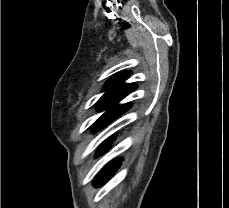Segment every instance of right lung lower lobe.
<instances>
[{"label": "right lung lower lobe", "instance_id": "1", "mask_svg": "<svg viewBox=\"0 0 229 208\" xmlns=\"http://www.w3.org/2000/svg\"><path fill=\"white\" fill-rule=\"evenodd\" d=\"M108 143H106L102 147H100L99 151L97 152L98 156L104 154L107 151V149L109 148V144ZM120 160L121 159H117V160H114V161L108 163L104 167V169H102L98 173V175L96 176V178L94 180V185L95 186H101L104 183H106L112 177V175L115 173L116 169L119 168Z\"/></svg>", "mask_w": 229, "mask_h": 208}]
</instances>
